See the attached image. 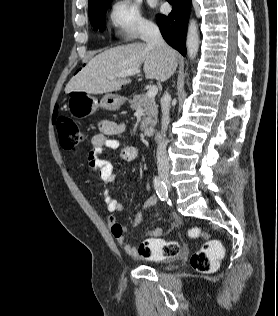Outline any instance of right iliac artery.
<instances>
[{
    "mask_svg": "<svg viewBox=\"0 0 278 316\" xmlns=\"http://www.w3.org/2000/svg\"><path fill=\"white\" fill-rule=\"evenodd\" d=\"M154 188L156 193L161 201H165L168 197L167 186L163 181L160 180L159 177L155 176L154 178Z\"/></svg>",
    "mask_w": 278,
    "mask_h": 316,
    "instance_id": "right-iliac-artery-1",
    "label": "right iliac artery"
}]
</instances>
